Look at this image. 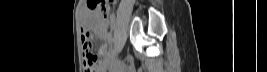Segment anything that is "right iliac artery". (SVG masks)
<instances>
[{"label": "right iliac artery", "mask_w": 267, "mask_h": 72, "mask_svg": "<svg viewBox=\"0 0 267 72\" xmlns=\"http://www.w3.org/2000/svg\"><path fill=\"white\" fill-rule=\"evenodd\" d=\"M114 51H115V44H112L110 49H109L108 56H111Z\"/></svg>", "instance_id": "right-iliac-artery-1"}]
</instances>
